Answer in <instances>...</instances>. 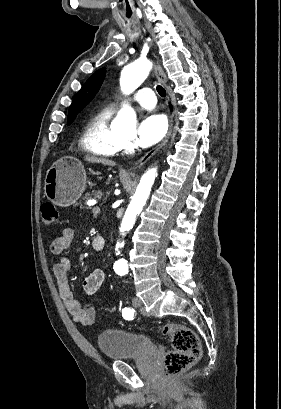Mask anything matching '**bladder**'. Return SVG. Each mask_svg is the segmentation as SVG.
<instances>
[{
    "instance_id": "bladder-1",
    "label": "bladder",
    "mask_w": 281,
    "mask_h": 409,
    "mask_svg": "<svg viewBox=\"0 0 281 409\" xmlns=\"http://www.w3.org/2000/svg\"><path fill=\"white\" fill-rule=\"evenodd\" d=\"M96 348L109 361L125 362L132 355H157L158 346L154 339L144 333L126 329L105 328L94 338Z\"/></svg>"
}]
</instances>
